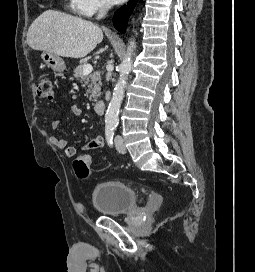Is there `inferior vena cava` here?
Returning a JSON list of instances; mask_svg holds the SVG:
<instances>
[{
  "mask_svg": "<svg viewBox=\"0 0 255 272\" xmlns=\"http://www.w3.org/2000/svg\"><path fill=\"white\" fill-rule=\"evenodd\" d=\"M109 8H110L109 3L106 0H102V2L99 5V13H98L97 19H100L104 15H106V13L108 12Z\"/></svg>",
  "mask_w": 255,
  "mask_h": 272,
  "instance_id": "1",
  "label": "inferior vena cava"
}]
</instances>
